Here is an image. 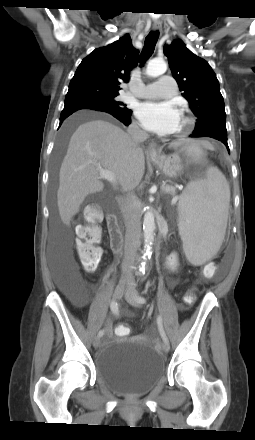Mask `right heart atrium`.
I'll list each match as a JSON object with an SVG mask.
<instances>
[{
  "instance_id": "d8ad5b80",
  "label": "right heart atrium",
  "mask_w": 255,
  "mask_h": 440,
  "mask_svg": "<svg viewBox=\"0 0 255 440\" xmlns=\"http://www.w3.org/2000/svg\"><path fill=\"white\" fill-rule=\"evenodd\" d=\"M133 129H135V130H139L138 125H137V124H134V125H133Z\"/></svg>"
}]
</instances>
